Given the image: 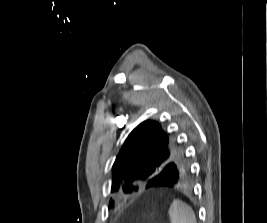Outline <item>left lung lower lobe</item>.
<instances>
[{
    "label": "left lung lower lobe",
    "mask_w": 267,
    "mask_h": 223,
    "mask_svg": "<svg viewBox=\"0 0 267 223\" xmlns=\"http://www.w3.org/2000/svg\"><path fill=\"white\" fill-rule=\"evenodd\" d=\"M194 171H163L153 173V180L142 182L140 190H147V195H175L176 190L192 189L189 177Z\"/></svg>",
    "instance_id": "0a47b994"
}]
</instances>
